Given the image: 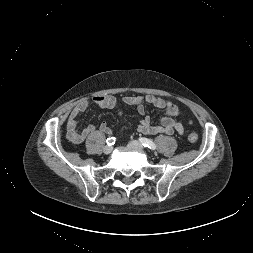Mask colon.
Masks as SVG:
<instances>
[{
    "label": "colon",
    "mask_w": 253,
    "mask_h": 253,
    "mask_svg": "<svg viewBox=\"0 0 253 253\" xmlns=\"http://www.w3.org/2000/svg\"><path fill=\"white\" fill-rule=\"evenodd\" d=\"M187 138L190 142H196L198 140V135L194 132H190Z\"/></svg>",
    "instance_id": "5ec220e1"
}]
</instances>
